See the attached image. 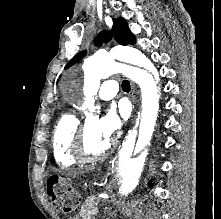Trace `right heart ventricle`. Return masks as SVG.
Returning <instances> with one entry per match:
<instances>
[{"instance_id": "e07e8e85", "label": "right heart ventricle", "mask_w": 221, "mask_h": 219, "mask_svg": "<svg viewBox=\"0 0 221 219\" xmlns=\"http://www.w3.org/2000/svg\"><path fill=\"white\" fill-rule=\"evenodd\" d=\"M80 123L76 113L66 112L54 127L52 151L56 164L61 168L73 166L77 162L72 155V145Z\"/></svg>"}]
</instances>
